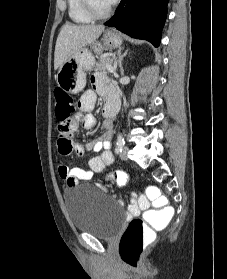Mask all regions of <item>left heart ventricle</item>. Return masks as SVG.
<instances>
[{"label":"left heart ventricle","instance_id":"b2bd125f","mask_svg":"<svg viewBox=\"0 0 227 279\" xmlns=\"http://www.w3.org/2000/svg\"><path fill=\"white\" fill-rule=\"evenodd\" d=\"M91 3L93 7L96 9V11L102 13L106 11L111 3L108 0H91Z\"/></svg>","mask_w":227,"mask_h":279}]
</instances>
